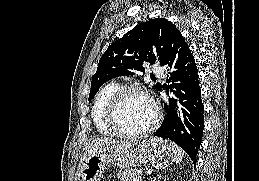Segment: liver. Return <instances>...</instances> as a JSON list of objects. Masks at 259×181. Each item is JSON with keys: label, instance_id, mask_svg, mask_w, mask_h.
I'll list each match as a JSON object with an SVG mask.
<instances>
[{"label": "liver", "instance_id": "liver-1", "mask_svg": "<svg viewBox=\"0 0 259 181\" xmlns=\"http://www.w3.org/2000/svg\"><path fill=\"white\" fill-rule=\"evenodd\" d=\"M137 144V141H122L112 138H98L93 140L86 148L90 150H124Z\"/></svg>", "mask_w": 259, "mask_h": 181}]
</instances>
